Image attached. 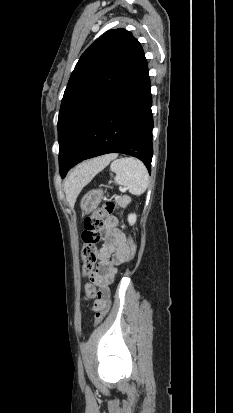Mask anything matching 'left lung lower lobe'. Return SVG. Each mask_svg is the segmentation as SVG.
Here are the masks:
<instances>
[{
    "label": "left lung lower lobe",
    "instance_id": "1",
    "mask_svg": "<svg viewBox=\"0 0 233 413\" xmlns=\"http://www.w3.org/2000/svg\"><path fill=\"white\" fill-rule=\"evenodd\" d=\"M152 98L143 49L113 94L89 124L72 158L60 171L64 178L82 160L107 153L134 156L151 172L153 155Z\"/></svg>",
    "mask_w": 233,
    "mask_h": 413
}]
</instances>
